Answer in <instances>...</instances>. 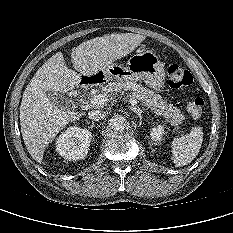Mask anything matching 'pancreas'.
I'll use <instances>...</instances> for the list:
<instances>
[{
	"label": "pancreas",
	"instance_id": "cf45deb5",
	"mask_svg": "<svg viewBox=\"0 0 233 233\" xmlns=\"http://www.w3.org/2000/svg\"><path fill=\"white\" fill-rule=\"evenodd\" d=\"M101 88L102 91L111 94L129 90L135 99L140 100L144 106L154 111L157 116H163L165 121L170 123L171 126L177 127L184 120V116L181 114L180 109L164 101L162 97L154 91L134 81L110 82Z\"/></svg>",
	"mask_w": 233,
	"mask_h": 233
}]
</instances>
